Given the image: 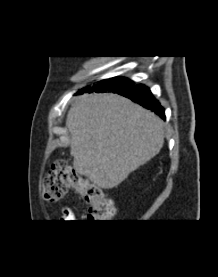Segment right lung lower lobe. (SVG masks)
Masks as SVG:
<instances>
[{
  "mask_svg": "<svg viewBox=\"0 0 218 277\" xmlns=\"http://www.w3.org/2000/svg\"><path fill=\"white\" fill-rule=\"evenodd\" d=\"M93 91L103 92L102 85L100 82H98L92 88L88 87V88L82 89V91L80 93L93 92ZM110 92L118 93L127 98H130L131 100L137 102L138 104L142 105L143 107L155 112L162 119H165L164 109L159 105L158 101L153 97L150 90L147 87H145L144 85H132V86L124 88V89L114 90V91H110Z\"/></svg>",
  "mask_w": 218,
  "mask_h": 277,
  "instance_id": "obj_1",
  "label": "right lung lower lobe"
}]
</instances>
